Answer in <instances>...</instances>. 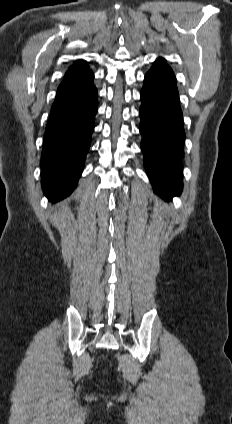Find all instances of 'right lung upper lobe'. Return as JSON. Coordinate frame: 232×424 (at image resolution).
Here are the masks:
<instances>
[{
	"label": "right lung upper lobe",
	"mask_w": 232,
	"mask_h": 424,
	"mask_svg": "<svg viewBox=\"0 0 232 424\" xmlns=\"http://www.w3.org/2000/svg\"><path fill=\"white\" fill-rule=\"evenodd\" d=\"M78 62H79L78 64H73L72 66L69 67L68 71L66 72L64 76V79L74 74L89 72V67L86 61L79 60Z\"/></svg>",
	"instance_id": "cb5924a9"
}]
</instances>
